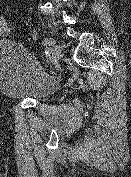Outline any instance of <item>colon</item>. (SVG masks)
<instances>
[{
  "label": "colon",
  "mask_w": 131,
  "mask_h": 177,
  "mask_svg": "<svg viewBox=\"0 0 131 177\" xmlns=\"http://www.w3.org/2000/svg\"><path fill=\"white\" fill-rule=\"evenodd\" d=\"M12 33V27L9 20L0 14V38H7Z\"/></svg>",
  "instance_id": "colon-1"
}]
</instances>
